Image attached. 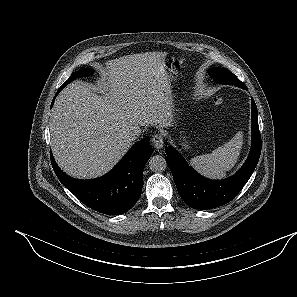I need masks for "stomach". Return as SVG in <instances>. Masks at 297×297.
Masks as SVG:
<instances>
[{"instance_id": "0dacf381", "label": "stomach", "mask_w": 297, "mask_h": 297, "mask_svg": "<svg viewBox=\"0 0 297 297\" xmlns=\"http://www.w3.org/2000/svg\"><path fill=\"white\" fill-rule=\"evenodd\" d=\"M182 67H183L182 59H178L176 57H170L165 60V68L171 82L176 79L178 74L181 72ZM183 140L184 142H182V147L184 149H188L189 145L186 142V138L183 137Z\"/></svg>"}]
</instances>
